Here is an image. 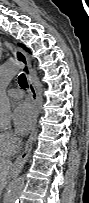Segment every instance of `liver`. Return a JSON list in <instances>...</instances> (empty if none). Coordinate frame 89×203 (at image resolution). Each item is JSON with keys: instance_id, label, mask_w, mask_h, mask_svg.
<instances>
[{"instance_id": "liver-1", "label": "liver", "mask_w": 89, "mask_h": 203, "mask_svg": "<svg viewBox=\"0 0 89 203\" xmlns=\"http://www.w3.org/2000/svg\"><path fill=\"white\" fill-rule=\"evenodd\" d=\"M13 164L8 160H1L0 162V188L3 189L6 186V179L11 173Z\"/></svg>"}]
</instances>
